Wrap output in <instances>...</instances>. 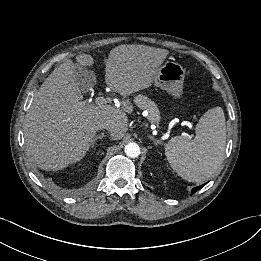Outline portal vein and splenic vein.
Masks as SVG:
<instances>
[{"instance_id":"1","label":"portal vein and splenic vein","mask_w":261,"mask_h":261,"mask_svg":"<svg viewBox=\"0 0 261 261\" xmlns=\"http://www.w3.org/2000/svg\"><path fill=\"white\" fill-rule=\"evenodd\" d=\"M95 102L98 105H105L107 103V99L104 97H98V98H96Z\"/></svg>"}]
</instances>
